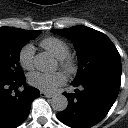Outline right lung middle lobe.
I'll return each mask as SVG.
<instances>
[{"label":"right lung middle lobe","mask_w":128,"mask_h":128,"mask_svg":"<svg viewBox=\"0 0 128 128\" xmlns=\"http://www.w3.org/2000/svg\"><path fill=\"white\" fill-rule=\"evenodd\" d=\"M40 30L29 31L18 28H0V79L15 80L23 76L19 65L21 48L40 34Z\"/></svg>","instance_id":"dd1d6c3e"}]
</instances>
